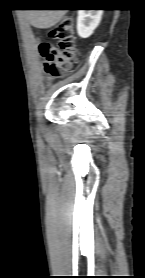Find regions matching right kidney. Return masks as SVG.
Segmentation results:
<instances>
[{"label": "right kidney", "instance_id": "obj_1", "mask_svg": "<svg viewBox=\"0 0 145 278\" xmlns=\"http://www.w3.org/2000/svg\"><path fill=\"white\" fill-rule=\"evenodd\" d=\"M103 10H79L77 32L82 38H88L99 25Z\"/></svg>", "mask_w": 145, "mask_h": 278}]
</instances>
